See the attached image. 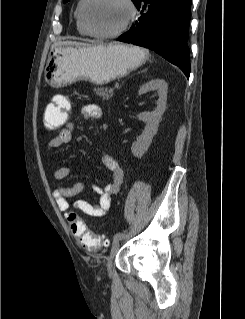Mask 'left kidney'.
<instances>
[{"label": "left kidney", "mask_w": 245, "mask_h": 319, "mask_svg": "<svg viewBox=\"0 0 245 319\" xmlns=\"http://www.w3.org/2000/svg\"><path fill=\"white\" fill-rule=\"evenodd\" d=\"M156 90L159 95L157 107L152 112H142L137 115L138 119L143 121L146 126L142 134L132 145V153L136 157H141L149 148L153 136L157 133L162 115L166 109L168 85L163 79H152L143 84L138 94L143 95L148 91Z\"/></svg>", "instance_id": "5707ae66"}]
</instances>
